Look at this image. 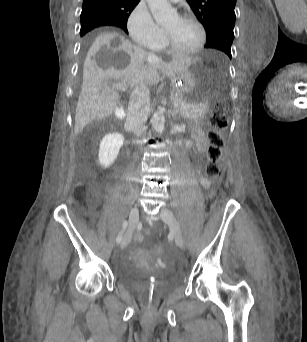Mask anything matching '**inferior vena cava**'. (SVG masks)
<instances>
[{
  "label": "inferior vena cava",
  "mask_w": 307,
  "mask_h": 342,
  "mask_svg": "<svg viewBox=\"0 0 307 342\" xmlns=\"http://www.w3.org/2000/svg\"><path fill=\"white\" fill-rule=\"evenodd\" d=\"M149 104L150 94L147 86H137V88H134L128 104L125 128H129L139 138H141L144 132Z\"/></svg>",
  "instance_id": "inferior-vena-cava-1"
}]
</instances>
